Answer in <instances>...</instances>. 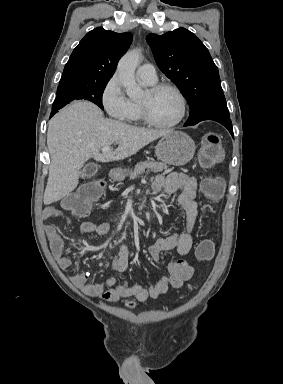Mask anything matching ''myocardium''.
Here are the masks:
<instances>
[{
    "mask_svg": "<svg viewBox=\"0 0 283 384\" xmlns=\"http://www.w3.org/2000/svg\"><path fill=\"white\" fill-rule=\"evenodd\" d=\"M161 90H170L179 99L180 113H179L178 117L170 123H166V124L159 123L151 117V115L149 113L148 106L143 101L138 102L139 110H140V116H141L143 122L145 124H147L148 126L156 128V129L168 130V129L176 127L177 125H179L183 121V119L186 115V111H187V102H186V98H185L184 94L181 92V90L173 84H170L167 82H161V83L152 84L148 87V91L152 94L157 93Z\"/></svg>",
    "mask_w": 283,
    "mask_h": 384,
    "instance_id": "1",
    "label": "myocardium"
}]
</instances>
